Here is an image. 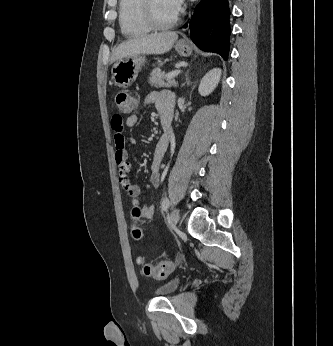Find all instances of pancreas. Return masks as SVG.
<instances>
[{
  "mask_svg": "<svg viewBox=\"0 0 333 346\" xmlns=\"http://www.w3.org/2000/svg\"><path fill=\"white\" fill-rule=\"evenodd\" d=\"M167 74L165 72H162L161 69L159 67L155 68L149 77V83L151 84V86L154 87H172V86H176L177 83L174 80H167V82H165V78H166Z\"/></svg>",
  "mask_w": 333,
  "mask_h": 346,
  "instance_id": "1",
  "label": "pancreas"
}]
</instances>
